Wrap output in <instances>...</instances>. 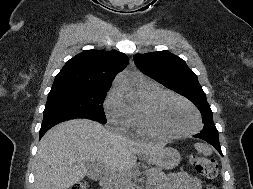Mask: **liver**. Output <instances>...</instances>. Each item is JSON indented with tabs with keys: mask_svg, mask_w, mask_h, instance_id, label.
<instances>
[{
	"mask_svg": "<svg viewBox=\"0 0 253 189\" xmlns=\"http://www.w3.org/2000/svg\"><path fill=\"white\" fill-rule=\"evenodd\" d=\"M162 144H139L88 119L62 122L49 130L38 145L35 189H68L88 173L97 178L98 166L112 177L129 180L137 156H153ZM92 170V171H91ZM123 189H130V181Z\"/></svg>",
	"mask_w": 253,
	"mask_h": 189,
	"instance_id": "obj_1",
	"label": "liver"
}]
</instances>
